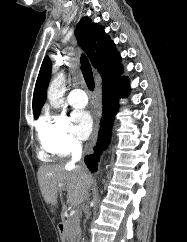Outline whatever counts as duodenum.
Here are the masks:
<instances>
[{"instance_id": "410a0bca", "label": "duodenum", "mask_w": 187, "mask_h": 242, "mask_svg": "<svg viewBox=\"0 0 187 242\" xmlns=\"http://www.w3.org/2000/svg\"><path fill=\"white\" fill-rule=\"evenodd\" d=\"M57 229H58L60 236H63L64 232H65V224L63 222L59 223L57 226Z\"/></svg>"}]
</instances>
